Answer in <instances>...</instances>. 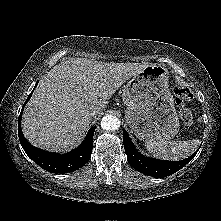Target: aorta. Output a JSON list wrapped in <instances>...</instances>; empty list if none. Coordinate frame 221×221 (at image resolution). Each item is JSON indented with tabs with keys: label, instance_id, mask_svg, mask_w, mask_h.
Instances as JSON below:
<instances>
[{
	"label": "aorta",
	"instance_id": "762f6f07",
	"mask_svg": "<svg viewBox=\"0 0 221 221\" xmlns=\"http://www.w3.org/2000/svg\"><path fill=\"white\" fill-rule=\"evenodd\" d=\"M101 127L106 131H114L120 127V121L116 116L106 115L101 120Z\"/></svg>",
	"mask_w": 221,
	"mask_h": 221
}]
</instances>
